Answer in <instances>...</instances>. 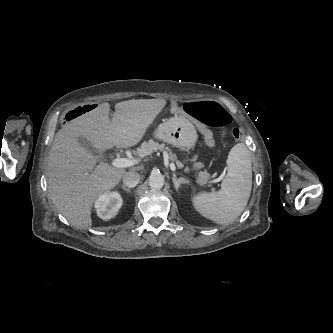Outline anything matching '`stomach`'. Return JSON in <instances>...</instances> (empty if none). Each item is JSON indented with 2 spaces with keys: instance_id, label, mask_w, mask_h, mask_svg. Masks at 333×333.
I'll use <instances>...</instances> for the list:
<instances>
[{
  "instance_id": "1",
  "label": "stomach",
  "mask_w": 333,
  "mask_h": 333,
  "mask_svg": "<svg viewBox=\"0 0 333 333\" xmlns=\"http://www.w3.org/2000/svg\"><path fill=\"white\" fill-rule=\"evenodd\" d=\"M155 137L188 150L194 148L198 139L195 127L183 117L178 116L161 123L155 131Z\"/></svg>"
}]
</instances>
